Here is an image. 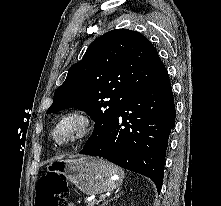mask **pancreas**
Listing matches in <instances>:
<instances>
[{
    "instance_id": "cf45deb5",
    "label": "pancreas",
    "mask_w": 221,
    "mask_h": 206,
    "mask_svg": "<svg viewBox=\"0 0 221 206\" xmlns=\"http://www.w3.org/2000/svg\"><path fill=\"white\" fill-rule=\"evenodd\" d=\"M99 201L97 200H92L90 202L87 203V206H94L95 204H98Z\"/></svg>"
}]
</instances>
